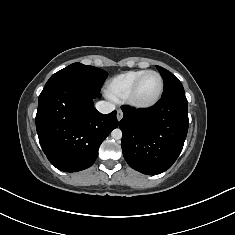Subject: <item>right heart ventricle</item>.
Returning a JSON list of instances; mask_svg holds the SVG:
<instances>
[{"mask_svg": "<svg viewBox=\"0 0 235 235\" xmlns=\"http://www.w3.org/2000/svg\"><path fill=\"white\" fill-rule=\"evenodd\" d=\"M146 70H130L112 77L106 85V94L113 100H124L135 80Z\"/></svg>", "mask_w": 235, "mask_h": 235, "instance_id": "e07e8e85", "label": "right heart ventricle"}]
</instances>
